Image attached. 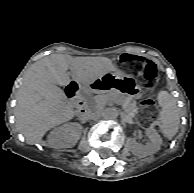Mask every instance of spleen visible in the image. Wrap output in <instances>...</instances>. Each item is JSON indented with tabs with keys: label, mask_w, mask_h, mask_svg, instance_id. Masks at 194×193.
<instances>
[{
	"label": "spleen",
	"mask_w": 194,
	"mask_h": 193,
	"mask_svg": "<svg viewBox=\"0 0 194 193\" xmlns=\"http://www.w3.org/2000/svg\"><path fill=\"white\" fill-rule=\"evenodd\" d=\"M158 102L162 108L160 129L165 137L171 139L178 132L180 124L176 100L167 91H161L158 95Z\"/></svg>",
	"instance_id": "1"
}]
</instances>
